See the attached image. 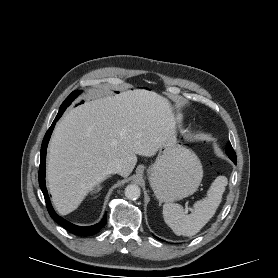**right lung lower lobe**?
I'll return each mask as SVG.
<instances>
[{
    "mask_svg": "<svg viewBox=\"0 0 278 278\" xmlns=\"http://www.w3.org/2000/svg\"><path fill=\"white\" fill-rule=\"evenodd\" d=\"M64 111H65V109L59 110L55 120L53 121L51 127L49 128V130L47 131V133L45 134V137L43 139L42 146H41L40 166H39V185L43 192L48 212H49L50 216L53 218V220H55L58 224H60L62 227H64L65 229H67L69 232H71L73 234L82 235V236H90V235L97 233L98 231H100L101 228L104 227V225L106 224V221H107L106 214L104 215L102 221L95 225L87 226V227H80V226L74 225V224L68 222L67 220L61 218L60 216H58L55 213V211L52 208V205H51V202H50L47 190H46V186H45V158H46L47 144H48L49 138L51 136V133L53 131L56 121L62 116Z\"/></svg>",
    "mask_w": 278,
    "mask_h": 278,
    "instance_id": "98d812e1",
    "label": "right lung lower lobe"
}]
</instances>
